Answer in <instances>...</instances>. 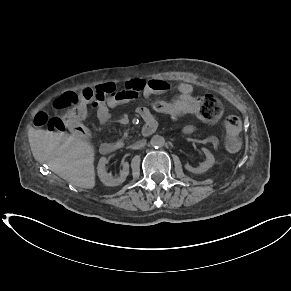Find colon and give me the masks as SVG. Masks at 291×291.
<instances>
[{
    "label": "colon",
    "mask_w": 291,
    "mask_h": 291,
    "mask_svg": "<svg viewBox=\"0 0 291 291\" xmlns=\"http://www.w3.org/2000/svg\"><path fill=\"white\" fill-rule=\"evenodd\" d=\"M117 86L112 82L99 83L95 88H85L80 92L66 91L56 96L50 110L37 113L34 124L45 127L49 131L70 130L77 139L88 137V129L83 123L87 106L112 97ZM159 111L175 114H198L200 119L207 123L215 122L221 115V106L218 100L207 95L201 98H177V100L159 98L155 102ZM53 113V115H51ZM56 113H61L56 115ZM227 147L234 151L238 148V136L241 131V122L236 116H227L224 120Z\"/></svg>",
    "instance_id": "1"
}]
</instances>
